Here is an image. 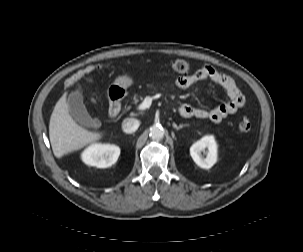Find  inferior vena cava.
<instances>
[{
	"mask_svg": "<svg viewBox=\"0 0 303 252\" xmlns=\"http://www.w3.org/2000/svg\"><path fill=\"white\" fill-rule=\"evenodd\" d=\"M138 127L139 121L135 118H126L122 122V130L127 134L135 132Z\"/></svg>",
	"mask_w": 303,
	"mask_h": 252,
	"instance_id": "602c4592",
	"label": "inferior vena cava"
}]
</instances>
